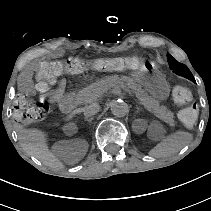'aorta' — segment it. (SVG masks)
<instances>
[{
	"mask_svg": "<svg viewBox=\"0 0 211 211\" xmlns=\"http://www.w3.org/2000/svg\"><path fill=\"white\" fill-rule=\"evenodd\" d=\"M110 109L113 115L124 117L129 112L128 104L122 100H114L110 104Z\"/></svg>",
	"mask_w": 211,
	"mask_h": 211,
	"instance_id": "762f6f07",
	"label": "aorta"
}]
</instances>
